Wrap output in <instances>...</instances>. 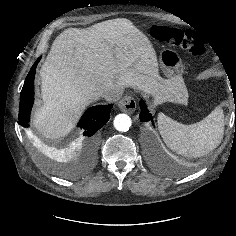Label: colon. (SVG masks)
<instances>
[{
	"label": "colon",
	"mask_w": 236,
	"mask_h": 236,
	"mask_svg": "<svg viewBox=\"0 0 236 236\" xmlns=\"http://www.w3.org/2000/svg\"><path fill=\"white\" fill-rule=\"evenodd\" d=\"M152 35L157 40L186 50L195 56H208L205 44L191 32L157 25L153 27Z\"/></svg>",
	"instance_id": "colon-1"
}]
</instances>
